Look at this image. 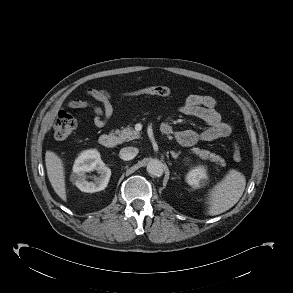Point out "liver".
<instances>
[{"label": "liver", "instance_id": "obj_1", "mask_svg": "<svg viewBox=\"0 0 293 293\" xmlns=\"http://www.w3.org/2000/svg\"><path fill=\"white\" fill-rule=\"evenodd\" d=\"M45 165L52 188L66 202L65 169L62 159L53 151L47 150L45 153Z\"/></svg>", "mask_w": 293, "mask_h": 293}]
</instances>
